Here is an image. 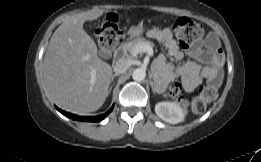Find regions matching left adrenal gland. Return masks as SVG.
<instances>
[{
	"instance_id": "1",
	"label": "left adrenal gland",
	"mask_w": 261,
	"mask_h": 162,
	"mask_svg": "<svg viewBox=\"0 0 261 162\" xmlns=\"http://www.w3.org/2000/svg\"><path fill=\"white\" fill-rule=\"evenodd\" d=\"M150 85H151V87H152L153 92L155 93V89H154V86H153V82H152V81H150Z\"/></svg>"
}]
</instances>
